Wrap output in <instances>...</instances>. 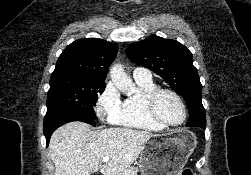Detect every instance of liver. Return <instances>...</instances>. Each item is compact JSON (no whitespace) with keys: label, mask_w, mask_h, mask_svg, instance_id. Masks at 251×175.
<instances>
[{"label":"liver","mask_w":251,"mask_h":175,"mask_svg":"<svg viewBox=\"0 0 251 175\" xmlns=\"http://www.w3.org/2000/svg\"><path fill=\"white\" fill-rule=\"evenodd\" d=\"M152 135L127 127L91 131L83 121L65 123L52 133L49 143L54 175H90L99 169L104 175H116L119 169L130 167ZM105 155L110 159L103 163Z\"/></svg>","instance_id":"6515ba94"}]
</instances>
